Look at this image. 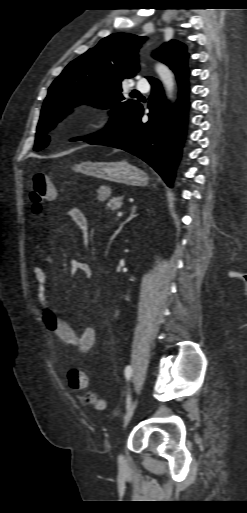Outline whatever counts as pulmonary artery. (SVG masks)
Listing matches in <instances>:
<instances>
[{
  "label": "pulmonary artery",
  "instance_id": "obj_1",
  "mask_svg": "<svg viewBox=\"0 0 247 513\" xmlns=\"http://www.w3.org/2000/svg\"><path fill=\"white\" fill-rule=\"evenodd\" d=\"M136 88L141 92H147L149 91L150 86L147 81L141 80L137 83Z\"/></svg>",
  "mask_w": 247,
  "mask_h": 513
}]
</instances>
